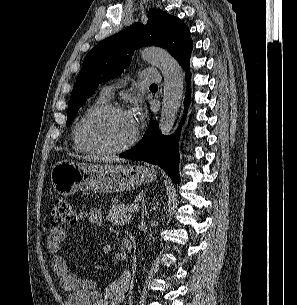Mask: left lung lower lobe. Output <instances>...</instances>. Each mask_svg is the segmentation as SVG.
<instances>
[{"label": "left lung lower lobe", "instance_id": "0a47b994", "mask_svg": "<svg viewBox=\"0 0 297 305\" xmlns=\"http://www.w3.org/2000/svg\"><path fill=\"white\" fill-rule=\"evenodd\" d=\"M188 82L190 81L189 62L183 63ZM189 91L185 100L189 103ZM178 135L164 136L152 121L143 139L130 151L120 154L122 158L145 161L163 168L168 175L178 183L180 181L178 163Z\"/></svg>", "mask_w": 297, "mask_h": 305}]
</instances>
